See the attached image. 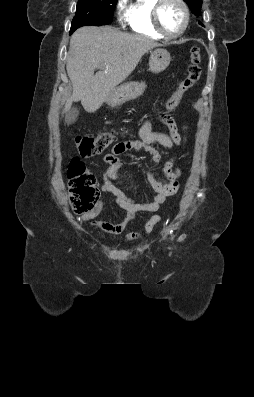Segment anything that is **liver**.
<instances>
[{"label":"liver","mask_w":254,"mask_h":397,"mask_svg":"<svg viewBox=\"0 0 254 397\" xmlns=\"http://www.w3.org/2000/svg\"><path fill=\"white\" fill-rule=\"evenodd\" d=\"M158 46L148 37L110 26L79 28L70 40L66 69L73 93L64 111L81 100L87 112H96L110 92L134 71L142 56ZM100 65L104 67L94 75Z\"/></svg>","instance_id":"1"}]
</instances>
